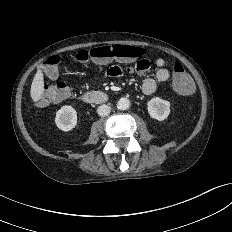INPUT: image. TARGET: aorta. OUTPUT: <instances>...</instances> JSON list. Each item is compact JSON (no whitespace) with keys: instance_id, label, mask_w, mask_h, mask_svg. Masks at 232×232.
<instances>
[{"instance_id":"1","label":"aorta","mask_w":232,"mask_h":232,"mask_svg":"<svg viewBox=\"0 0 232 232\" xmlns=\"http://www.w3.org/2000/svg\"><path fill=\"white\" fill-rule=\"evenodd\" d=\"M129 106H130V101L127 98L122 97L117 102V108L119 110H126L129 108Z\"/></svg>"}]
</instances>
